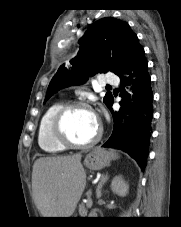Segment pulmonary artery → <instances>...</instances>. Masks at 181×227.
<instances>
[{"instance_id":"e3ab8cb5","label":"pulmonary artery","mask_w":181,"mask_h":227,"mask_svg":"<svg viewBox=\"0 0 181 227\" xmlns=\"http://www.w3.org/2000/svg\"><path fill=\"white\" fill-rule=\"evenodd\" d=\"M119 82V78L111 73L105 74L102 83L103 84H117Z\"/></svg>"}]
</instances>
